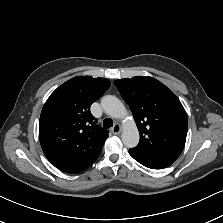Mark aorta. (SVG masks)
<instances>
[{
	"label": "aorta",
	"mask_w": 223,
	"mask_h": 223,
	"mask_svg": "<svg viewBox=\"0 0 223 223\" xmlns=\"http://www.w3.org/2000/svg\"><path fill=\"white\" fill-rule=\"evenodd\" d=\"M102 108L105 113L111 118L117 120H123L121 139L126 147H134L139 142V130L137 124L133 118H129L130 114L123 104L117 97L107 95L102 98Z\"/></svg>",
	"instance_id": "762f6f07"
}]
</instances>
